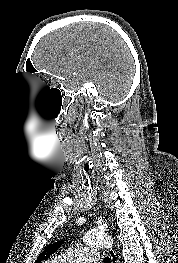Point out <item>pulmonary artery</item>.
Returning a JSON list of instances; mask_svg holds the SVG:
<instances>
[{
	"mask_svg": "<svg viewBox=\"0 0 178 263\" xmlns=\"http://www.w3.org/2000/svg\"><path fill=\"white\" fill-rule=\"evenodd\" d=\"M99 258L98 251L93 247H77L68 249L56 260L59 263H97Z\"/></svg>",
	"mask_w": 178,
	"mask_h": 263,
	"instance_id": "obj_1",
	"label": "pulmonary artery"
}]
</instances>
